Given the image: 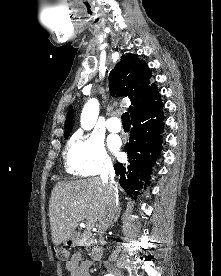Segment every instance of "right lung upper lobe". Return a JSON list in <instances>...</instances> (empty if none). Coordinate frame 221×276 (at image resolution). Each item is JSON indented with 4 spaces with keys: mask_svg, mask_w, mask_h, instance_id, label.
Wrapping results in <instances>:
<instances>
[{
    "mask_svg": "<svg viewBox=\"0 0 221 276\" xmlns=\"http://www.w3.org/2000/svg\"><path fill=\"white\" fill-rule=\"evenodd\" d=\"M151 72L146 63H141L133 54L123 55L109 74V90L112 96H127L131 101V117L153 107L161 101L157 86L150 82ZM73 108L70 107L65 122L64 137L72 130Z\"/></svg>",
    "mask_w": 221,
    "mask_h": 276,
    "instance_id": "right-lung-upper-lobe-1",
    "label": "right lung upper lobe"
}]
</instances>
